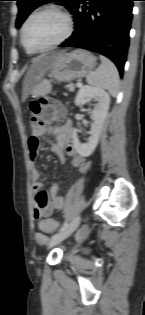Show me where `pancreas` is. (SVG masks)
Returning <instances> with one entry per match:
<instances>
[{"label": "pancreas", "mask_w": 145, "mask_h": 315, "mask_svg": "<svg viewBox=\"0 0 145 315\" xmlns=\"http://www.w3.org/2000/svg\"><path fill=\"white\" fill-rule=\"evenodd\" d=\"M69 91H74L75 85L73 83H69L65 86Z\"/></svg>", "instance_id": "1"}]
</instances>
